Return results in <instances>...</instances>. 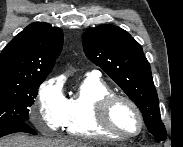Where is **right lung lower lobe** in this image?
<instances>
[{"mask_svg": "<svg viewBox=\"0 0 183 147\" xmlns=\"http://www.w3.org/2000/svg\"><path fill=\"white\" fill-rule=\"evenodd\" d=\"M16 132L36 134V132L32 128H30L26 122H18L8 124L0 128V137Z\"/></svg>", "mask_w": 183, "mask_h": 147, "instance_id": "right-lung-lower-lobe-1", "label": "right lung lower lobe"}]
</instances>
